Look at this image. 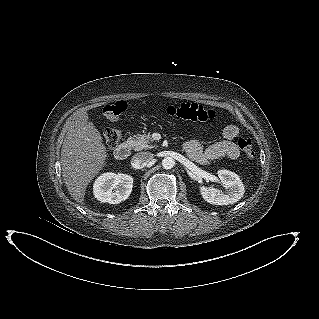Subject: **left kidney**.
Masks as SVG:
<instances>
[{
	"label": "left kidney",
	"instance_id": "5707ae66",
	"mask_svg": "<svg viewBox=\"0 0 319 319\" xmlns=\"http://www.w3.org/2000/svg\"><path fill=\"white\" fill-rule=\"evenodd\" d=\"M218 177L227 191L223 193L219 189L201 186L200 192L205 201L214 205H229L236 203L243 197L245 188L236 173L229 170H219Z\"/></svg>",
	"mask_w": 319,
	"mask_h": 319
}]
</instances>
